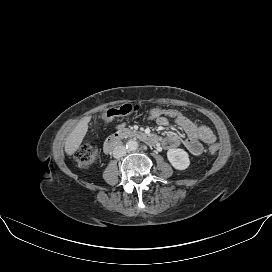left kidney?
Instances as JSON below:
<instances>
[{
  "instance_id": "5707ae66",
  "label": "left kidney",
  "mask_w": 272,
  "mask_h": 272,
  "mask_svg": "<svg viewBox=\"0 0 272 272\" xmlns=\"http://www.w3.org/2000/svg\"><path fill=\"white\" fill-rule=\"evenodd\" d=\"M167 158L171 165L177 170H185L190 165L188 153L183 149H169Z\"/></svg>"
}]
</instances>
